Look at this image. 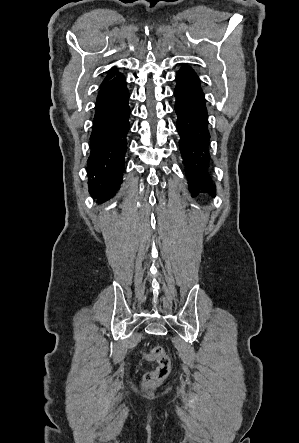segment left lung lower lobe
Instances as JSON below:
<instances>
[{
    "instance_id": "left-lung-lower-lobe-1",
    "label": "left lung lower lobe",
    "mask_w": 299,
    "mask_h": 443,
    "mask_svg": "<svg viewBox=\"0 0 299 443\" xmlns=\"http://www.w3.org/2000/svg\"><path fill=\"white\" fill-rule=\"evenodd\" d=\"M175 112L180 135L179 149L186 166V176L192 196L200 192L215 196V185L210 176V134L207 126L205 96L197 74L188 66L176 76Z\"/></svg>"
}]
</instances>
